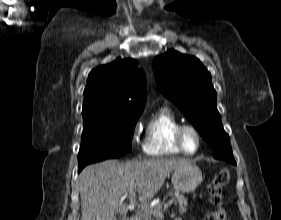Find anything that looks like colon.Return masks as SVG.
<instances>
[{
    "instance_id": "5ec220e1",
    "label": "colon",
    "mask_w": 281,
    "mask_h": 220,
    "mask_svg": "<svg viewBox=\"0 0 281 220\" xmlns=\"http://www.w3.org/2000/svg\"><path fill=\"white\" fill-rule=\"evenodd\" d=\"M230 173L229 170L221 169L212 179L208 185V194L214 210L207 213L204 220H226V211L223 207V187L229 183Z\"/></svg>"
}]
</instances>
